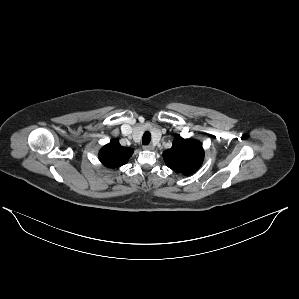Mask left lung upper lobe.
<instances>
[{"label":"left lung upper lobe","instance_id":"obj_1","mask_svg":"<svg viewBox=\"0 0 299 299\" xmlns=\"http://www.w3.org/2000/svg\"><path fill=\"white\" fill-rule=\"evenodd\" d=\"M166 165L177 173L190 175L197 171L204 158L202 144L193 139L176 136L170 149L163 153Z\"/></svg>","mask_w":299,"mask_h":299}]
</instances>
